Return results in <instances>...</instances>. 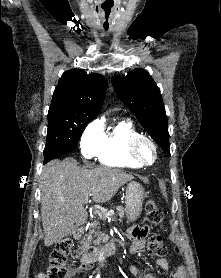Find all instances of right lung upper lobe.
I'll use <instances>...</instances> for the list:
<instances>
[{
    "label": "right lung upper lobe",
    "instance_id": "obj_1",
    "mask_svg": "<svg viewBox=\"0 0 221 278\" xmlns=\"http://www.w3.org/2000/svg\"><path fill=\"white\" fill-rule=\"evenodd\" d=\"M106 88V80L101 74L68 70L54 90L48 115L70 119L86 117L91 121L101 110Z\"/></svg>",
    "mask_w": 221,
    "mask_h": 278
}]
</instances>
